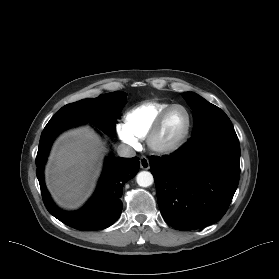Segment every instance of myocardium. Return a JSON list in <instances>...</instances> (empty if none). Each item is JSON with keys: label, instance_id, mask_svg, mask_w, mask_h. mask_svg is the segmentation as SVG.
Returning a JSON list of instances; mask_svg holds the SVG:
<instances>
[{"label": "myocardium", "instance_id": "f54148a6", "mask_svg": "<svg viewBox=\"0 0 279 279\" xmlns=\"http://www.w3.org/2000/svg\"><path fill=\"white\" fill-rule=\"evenodd\" d=\"M174 109H182L185 112L186 118H187V124H186L185 130L176 141H174L170 144H159L157 142L158 134L163 126V123H164L166 117ZM192 125H193V119H192V115H191L189 109L181 104H172L169 107L165 108L159 114V116L156 118L154 123L152 124V126L146 136L147 144H148L149 148L151 150H153L154 152H157L160 154L172 153V152L178 150L179 148H181L186 143V141L188 140V138L190 136Z\"/></svg>", "mask_w": 279, "mask_h": 279}]
</instances>
